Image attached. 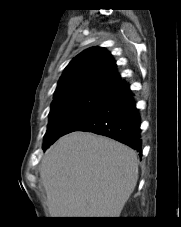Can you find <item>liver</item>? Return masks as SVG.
Masks as SVG:
<instances>
[{
  "label": "liver",
  "instance_id": "1",
  "mask_svg": "<svg viewBox=\"0 0 181 227\" xmlns=\"http://www.w3.org/2000/svg\"><path fill=\"white\" fill-rule=\"evenodd\" d=\"M40 177L51 217H119L138 180L137 153L104 136L73 132L45 152Z\"/></svg>",
  "mask_w": 181,
  "mask_h": 227
}]
</instances>
